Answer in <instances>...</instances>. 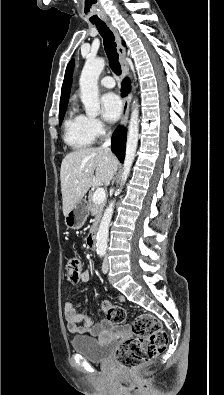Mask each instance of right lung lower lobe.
<instances>
[{"label":"right lung lower lobe","mask_w":224,"mask_h":395,"mask_svg":"<svg viewBox=\"0 0 224 395\" xmlns=\"http://www.w3.org/2000/svg\"><path fill=\"white\" fill-rule=\"evenodd\" d=\"M122 96L126 95L130 91V82L126 78L122 83ZM125 144H126V130L123 127H118L112 136V151L118 157L120 162L124 161L125 156Z\"/></svg>","instance_id":"98d812e1"}]
</instances>
